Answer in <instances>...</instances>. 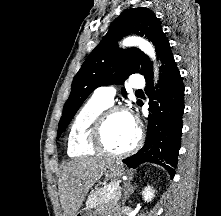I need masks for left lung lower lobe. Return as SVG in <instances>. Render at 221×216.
Here are the masks:
<instances>
[{
    "label": "left lung lower lobe",
    "instance_id": "obj_1",
    "mask_svg": "<svg viewBox=\"0 0 221 216\" xmlns=\"http://www.w3.org/2000/svg\"><path fill=\"white\" fill-rule=\"evenodd\" d=\"M157 58L162 62L159 89H153L152 65L144 75L150 105L146 142L136 154L123 162L130 167L153 162L163 166L173 178L181 145L184 84L169 42L161 46Z\"/></svg>",
    "mask_w": 221,
    "mask_h": 216
}]
</instances>
